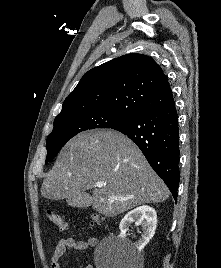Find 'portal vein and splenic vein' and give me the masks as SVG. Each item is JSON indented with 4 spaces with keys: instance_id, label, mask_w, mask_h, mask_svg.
<instances>
[{
    "instance_id": "obj_1",
    "label": "portal vein and splenic vein",
    "mask_w": 221,
    "mask_h": 268,
    "mask_svg": "<svg viewBox=\"0 0 221 268\" xmlns=\"http://www.w3.org/2000/svg\"><path fill=\"white\" fill-rule=\"evenodd\" d=\"M97 187L101 188V187H102V184H97ZM110 199H116V200H117V199H119V198H112V197H111Z\"/></svg>"
}]
</instances>
